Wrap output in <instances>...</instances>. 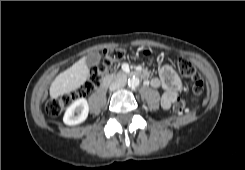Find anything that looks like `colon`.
Masks as SVG:
<instances>
[{"mask_svg":"<svg viewBox=\"0 0 245 170\" xmlns=\"http://www.w3.org/2000/svg\"><path fill=\"white\" fill-rule=\"evenodd\" d=\"M123 56L124 52L117 48L101 52V63L96 70L92 71L90 79L81 87L50 100L46 105L48 115L59 116L67 106L84 97L87 92L99 86L102 75L108 73ZM177 65L180 73L191 80L193 95L196 97L200 96L204 91V82L194 65L186 58H179ZM184 108L185 101L182 98H177L174 103L175 111L181 112Z\"/></svg>","mask_w":245,"mask_h":170,"instance_id":"1","label":"colon"}]
</instances>
